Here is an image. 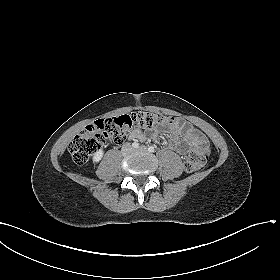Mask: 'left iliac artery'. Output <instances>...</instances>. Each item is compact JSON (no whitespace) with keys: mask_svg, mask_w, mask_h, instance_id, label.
<instances>
[{"mask_svg":"<svg viewBox=\"0 0 280 280\" xmlns=\"http://www.w3.org/2000/svg\"><path fill=\"white\" fill-rule=\"evenodd\" d=\"M148 151H149V152H154V151H155V148H154L153 146H150V147L148 148Z\"/></svg>","mask_w":280,"mask_h":280,"instance_id":"left-iliac-artery-1","label":"left iliac artery"}]
</instances>
